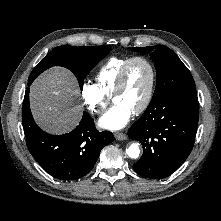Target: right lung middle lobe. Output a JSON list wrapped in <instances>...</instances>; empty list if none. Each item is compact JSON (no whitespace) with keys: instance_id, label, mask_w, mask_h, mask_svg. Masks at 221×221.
<instances>
[{"instance_id":"1","label":"right lung middle lobe","mask_w":221,"mask_h":221,"mask_svg":"<svg viewBox=\"0 0 221 221\" xmlns=\"http://www.w3.org/2000/svg\"><path fill=\"white\" fill-rule=\"evenodd\" d=\"M111 49L108 45L101 47L58 46L36 65L29 76L28 82L32 83L39 74L52 66H62L75 74L80 88H82L86 75Z\"/></svg>"}]
</instances>
